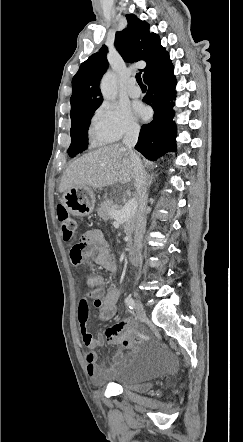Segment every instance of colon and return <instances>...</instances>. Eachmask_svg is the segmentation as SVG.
<instances>
[{
	"mask_svg": "<svg viewBox=\"0 0 243 442\" xmlns=\"http://www.w3.org/2000/svg\"><path fill=\"white\" fill-rule=\"evenodd\" d=\"M56 211H57V216H58L59 222L61 223L64 239L67 242L76 241L74 246L71 248L70 254H72V256L70 255V259L73 261L83 260L85 243H84L83 239L80 237V224L78 223V221H76L69 214L68 210L66 209V207L64 205H58ZM90 276H93V275H90ZM90 276H88V277H90ZM88 277H87V279H88ZM93 277H95V279H97V281H98V284L95 287L88 285L87 279H86V284L91 289H95L99 285V278L97 276H93Z\"/></svg>",
	"mask_w": 243,
	"mask_h": 442,
	"instance_id": "colon-1",
	"label": "colon"
}]
</instances>
